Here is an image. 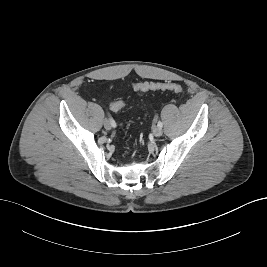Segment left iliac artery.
Segmentation results:
<instances>
[{
    "label": "left iliac artery",
    "mask_w": 267,
    "mask_h": 267,
    "mask_svg": "<svg viewBox=\"0 0 267 267\" xmlns=\"http://www.w3.org/2000/svg\"><path fill=\"white\" fill-rule=\"evenodd\" d=\"M157 125L162 128L163 124L161 121H158Z\"/></svg>",
    "instance_id": "44dca946"
}]
</instances>
